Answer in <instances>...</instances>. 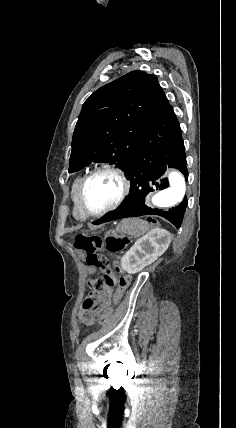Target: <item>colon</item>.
Instances as JSON below:
<instances>
[{
	"instance_id": "colon-1",
	"label": "colon",
	"mask_w": 236,
	"mask_h": 428,
	"mask_svg": "<svg viewBox=\"0 0 236 428\" xmlns=\"http://www.w3.org/2000/svg\"><path fill=\"white\" fill-rule=\"evenodd\" d=\"M128 244L129 239L125 236H110L105 241L99 237L85 235L75 237L74 247L84 253L87 264L98 268L103 273L102 277L90 279L88 282L90 294L83 302L80 311V317L83 321L97 318L99 323H105L120 303L131 282V276L129 274L118 275L117 273L122 272L120 267L115 264L113 269L108 259L100 253V250L106 246L111 252H120ZM115 287L116 292L113 296L112 305L102 306L98 304V296L105 292H111Z\"/></svg>"
}]
</instances>
